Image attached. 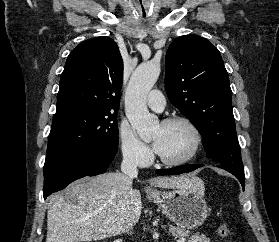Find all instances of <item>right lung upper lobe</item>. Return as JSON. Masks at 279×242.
<instances>
[{
    "label": "right lung upper lobe",
    "mask_w": 279,
    "mask_h": 242,
    "mask_svg": "<svg viewBox=\"0 0 279 242\" xmlns=\"http://www.w3.org/2000/svg\"><path fill=\"white\" fill-rule=\"evenodd\" d=\"M122 82L123 60L114 40L83 41L66 60L56 114L77 109L117 112Z\"/></svg>",
    "instance_id": "right-lung-upper-lobe-1"
}]
</instances>
